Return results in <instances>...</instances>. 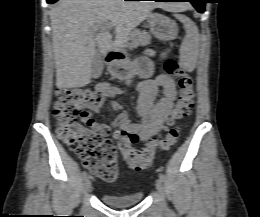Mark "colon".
I'll list each match as a JSON object with an SVG mask.
<instances>
[{"label":"colon","instance_id":"5ec220e1","mask_svg":"<svg viewBox=\"0 0 260 217\" xmlns=\"http://www.w3.org/2000/svg\"><path fill=\"white\" fill-rule=\"evenodd\" d=\"M165 71L179 78V96L170 117V121L175 122L191 113L195 96L194 80L173 59L166 61ZM103 102L104 98L92 90L62 89L57 92L54 116L57 136L79 157L86 169L104 181L116 179L118 152L128 167L136 171L144 170L151 165L158 149H169L179 137L180 128L175 127L162 139L153 140L142 149L132 147L125 136H121L115 144L103 128L80 120L85 107L99 106Z\"/></svg>","mask_w":260,"mask_h":217}]
</instances>
